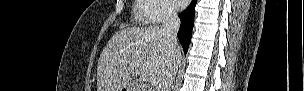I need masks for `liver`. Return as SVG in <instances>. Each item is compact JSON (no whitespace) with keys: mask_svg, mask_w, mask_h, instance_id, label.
<instances>
[{"mask_svg":"<svg viewBox=\"0 0 304 91\" xmlns=\"http://www.w3.org/2000/svg\"><path fill=\"white\" fill-rule=\"evenodd\" d=\"M170 59L169 42L161 27L119 30L98 60L97 91H121L139 75L159 80Z\"/></svg>","mask_w":304,"mask_h":91,"instance_id":"6515ba94","label":"liver"}]
</instances>
